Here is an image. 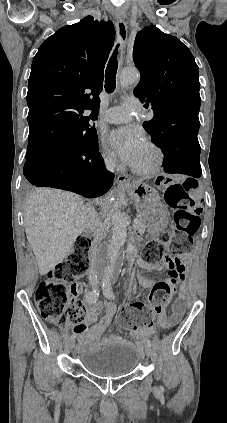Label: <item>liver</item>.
<instances>
[{"label": "liver", "mask_w": 227, "mask_h": 423, "mask_svg": "<svg viewBox=\"0 0 227 423\" xmlns=\"http://www.w3.org/2000/svg\"><path fill=\"white\" fill-rule=\"evenodd\" d=\"M142 182V180H139ZM26 237L36 257L40 275L61 263L78 235L89 229L84 200L62 190L35 188L24 206ZM100 219H97L99 223Z\"/></svg>", "instance_id": "6515ba94"}]
</instances>
